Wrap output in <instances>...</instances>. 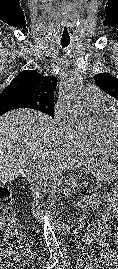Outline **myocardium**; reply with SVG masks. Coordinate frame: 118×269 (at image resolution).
Wrapping results in <instances>:
<instances>
[{"mask_svg": "<svg viewBox=\"0 0 118 269\" xmlns=\"http://www.w3.org/2000/svg\"><path fill=\"white\" fill-rule=\"evenodd\" d=\"M118 120V110H112L100 117L103 129L99 130V136L104 140L118 155V141L114 140L111 135L112 125Z\"/></svg>", "mask_w": 118, "mask_h": 269, "instance_id": "myocardium-1", "label": "myocardium"}]
</instances>
